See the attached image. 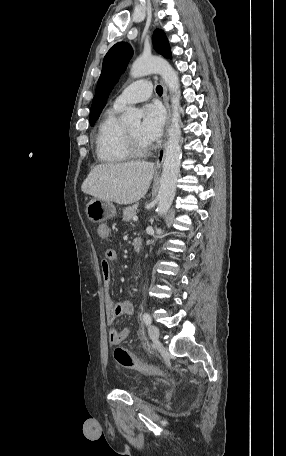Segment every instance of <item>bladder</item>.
<instances>
[{
	"label": "bladder",
	"mask_w": 286,
	"mask_h": 456,
	"mask_svg": "<svg viewBox=\"0 0 286 456\" xmlns=\"http://www.w3.org/2000/svg\"><path fill=\"white\" fill-rule=\"evenodd\" d=\"M152 390H153L152 387H141L137 390V392L140 394H147V393H150Z\"/></svg>",
	"instance_id": "bladder-1"
}]
</instances>
